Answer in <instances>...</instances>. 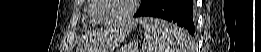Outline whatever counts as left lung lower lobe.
I'll use <instances>...</instances> for the list:
<instances>
[{"label":"left lung lower lobe","mask_w":261,"mask_h":52,"mask_svg":"<svg viewBox=\"0 0 261 52\" xmlns=\"http://www.w3.org/2000/svg\"><path fill=\"white\" fill-rule=\"evenodd\" d=\"M152 16L168 20L195 34V15L192 0H153L135 14V17Z\"/></svg>","instance_id":"0a47b994"}]
</instances>
